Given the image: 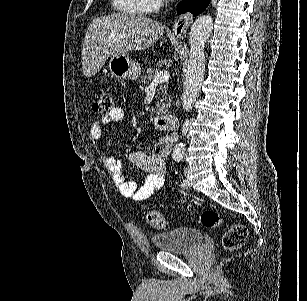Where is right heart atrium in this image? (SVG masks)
<instances>
[{
	"mask_svg": "<svg viewBox=\"0 0 307 301\" xmlns=\"http://www.w3.org/2000/svg\"><path fill=\"white\" fill-rule=\"evenodd\" d=\"M160 6L159 0H150L149 4H144L143 6H140V9H143L144 11H155L156 7Z\"/></svg>",
	"mask_w": 307,
	"mask_h": 301,
	"instance_id": "d8ad5b80",
	"label": "right heart atrium"
}]
</instances>
